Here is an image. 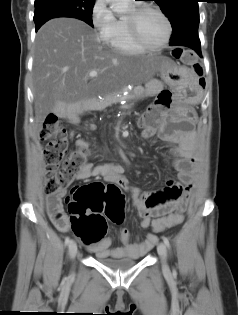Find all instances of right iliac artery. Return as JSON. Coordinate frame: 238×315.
Wrapping results in <instances>:
<instances>
[{
	"mask_svg": "<svg viewBox=\"0 0 238 315\" xmlns=\"http://www.w3.org/2000/svg\"><path fill=\"white\" fill-rule=\"evenodd\" d=\"M70 242H71L70 238H69V237H66V239H65V245H68Z\"/></svg>",
	"mask_w": 238,
	"mask_h": 315,
	"instance_id": "obj_1",
	"label": "right iliac artery"
}]
</instances>
